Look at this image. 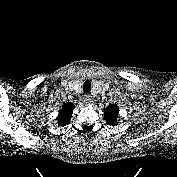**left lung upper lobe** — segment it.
I'll use <instances>...</instances> for the list:
<instances>
[{
	"mask_svg": "<svg viewBox=\"0 0 177 177\" xmlns=\"http://www.w3.org/2000/svg\"><path fill=\"white\" fill-rule=\"evenodd\" d=\"M104 110H105L104 117L106 119L107 124L115 125L117 123V118L119 113L116 104H110Z\"/></svg>",
	"mask_w": 177,
	"mask_h": 177,
	"instance_id": "obj_1",
	"label": "left lung upper lobe"
}]
</instances>
